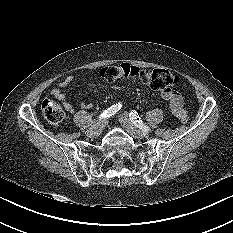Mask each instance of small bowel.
Returning <instances> with one entry per match:
<instances>
[{"instance_id": "c3829d8e", "label": "small bowel", "mask_w": 233, "mask_h": 233, "mask_svg": "<svg viewBox=\"0 0 233 233\" xmlns=\"http://www.w3.org/2000/svg\"><path fill=\"white\" fill-rule=\"evenodd\" d=\"M73 81V76L68 75L66 76L60 83L59 87L54 88L51 93L52 95L62 102L64 108L69 111L70 113L74 112L73 106L66 100V96L63 92V88L70 85V83ZM161 97L168 101L169 108L171 112L178 118L182 119L183 117H187V111L185 110L183 106V100L181 96L176 91H162ZM92 107V103L90 102H83L81 103V108L83 109H89Z\"/></svg>"}]
</instances>
